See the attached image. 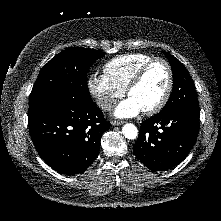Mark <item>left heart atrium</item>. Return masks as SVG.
I'll use <instances>...</instances> for the list:
<instances>
[{"instance_id": "obj_1", "label": "left heart atrium", "mask_w": 221, "mask_h": 221, "mask_svg": "<svg viewBox=\"0 0 221 221\" xmlns=\"http://www.w3.org/2000/svg\"><path fill=\"white\" fill-rule=\"evenodd\" d=\"M140 111V107L131 98H128L116 107L114 115L119 118H128L136 116Z\"/></svg>"}]
</instances>
